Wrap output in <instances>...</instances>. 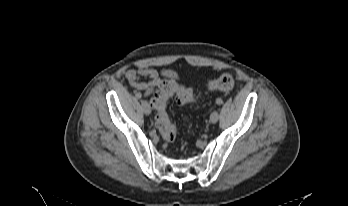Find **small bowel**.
Masks as SVG:
<instances>
[{
    "mask_svg": "<svg viewBox=\"0 0 348 206\" xmlns=\"http://www.w3.org/2000/svg\"><path fill=\"white\" fill-rule=\"evenodd\" d=\"M125 77L133 88L143 91L144 95L149 97L160 86L164 79L174 80L176 75L171 70L138 67L136 69L127 70L125 72Z\"/></svg>",
    "mask_w": 348,
    "mask_h": 206,
    "instance_id": "c3829d8e",
    "label": "small bowel"
}]
</instances>
